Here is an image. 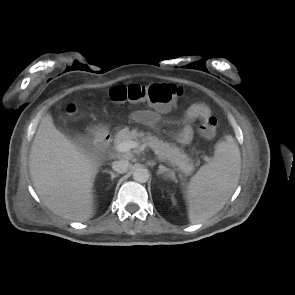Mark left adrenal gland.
<instances>
[{
	"label": "left adrenal gland",
	"instance_id": "left-adrenal-gland-1",
	"mask_svg": "<svg viewBox=\"0 0 295 295\" xmlns=\"http://www.w3.org/2000/svg\"><path fill=\"white\" fill-rule=\"evenodd\" d=\"M171 173H173V171L169 168H166L165 166H163L162 164L159 165V170L157 171V175H163L164 178H169Z\"/></svg>",
	"mask_w": 295,
	"mask_h": 295
}]
</instances>
